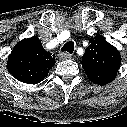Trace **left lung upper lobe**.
<instances>
[{
    "instance_id": "1",
    "label": "left lung upper lobe",
    "mask_w": 127,
    "mask_h": 127,
    "mask_svg": "<svg viewBox=\"0 0 127 127\" xmlns=\"http://www.w3.org/2000/svg\"><path fill=\"white\" fill-rule=\"evenodd\" d=\"M89 43L82 57L84 71L91 82L106 85L115 79L121 55L102 35L91 37Z\"/></svg>"
}]
</instances>
